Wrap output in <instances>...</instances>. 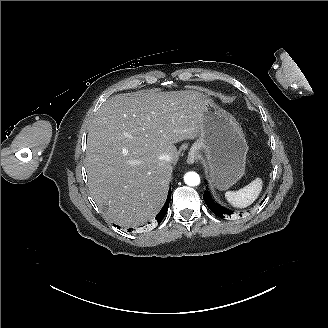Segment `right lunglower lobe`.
<instances>
[{
  "label": "right lung lower lobe",
  "instance_id": "98d812e1",
  "mask_svg": "<svg viewBox=\"0 0 328 328\" xmlns=\"http://www.w3.org/2000/svg\"><path fill=\"white\" fill-rule=\"evenodd\" d=\"M171 200V188H170V191L168 193V197H167V200L163 206V208L161 209V211L157 214V216L155 217V222L156 223H161V221L163 220V218L165 217L167 211H168V207H169V202ZM118 228H120L119 226H117ZM129 231V229H128Z\"/></svg>",
  "mask_w": 328,
  "mask_h": 328
}]
</instances>
